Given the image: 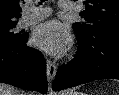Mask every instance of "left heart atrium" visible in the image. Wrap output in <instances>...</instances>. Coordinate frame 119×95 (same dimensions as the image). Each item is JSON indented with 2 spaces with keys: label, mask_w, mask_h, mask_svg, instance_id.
Segmentation results:
<instances>
[{
  "label": "left heart atrium",
  "mask_w": 119,
  "mask_h": 95,
  "mask_svg": "<svg viewBox=\"0 0 119 95\" xmlns=\"http://www.w3.org/2000/svg\"><path fill=\"white\" fill-rule=\"evenodd\" d=\"M33 43L50 54H59L69 43V33L62 23L48 21L35 29Z\"/></svg>",
  "instance_id": "39dd6f15"
}]
</instances>
